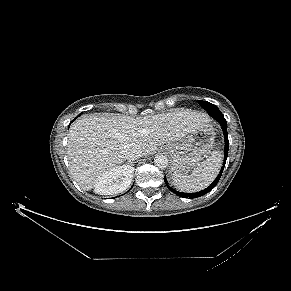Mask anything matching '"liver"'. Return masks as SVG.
Here are the masks:
<instances>
[{
	"mask_svg": "<svg viewBox=\"0 0 291 291\" xmlns=\"http://www.w3.org/2000/svg\"><path fill=\"white\" fill-rule=\"evenodd\" d=\"M209 122L208 115L183 108L137 118L108 114L83 116L74 122L68 134L71 175L83 190L89 191L102 174L126 160L128 147L137 146L142 156H149L159 146L179 141Z\"/></svg>",
	"mask_w": 291,
	"mask_h": 291,
	"instance_id": "obj_1",
	"label": "liver"
}]
</instances>
